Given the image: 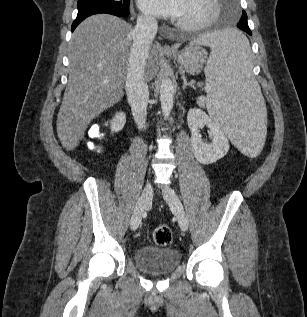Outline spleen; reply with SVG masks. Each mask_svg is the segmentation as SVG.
<instances>
[{"mask_svg": "<svg viewBox=\"0 0 307 317\" xmlns=\"http://www.w3.org/2000/svg\"><path fill=\"white\" fill-rule=\"evenodd\" d=\"M243 29H213L192 44L209 46L205 76L211 86V119L233 140L239 155H262L269 129L260 87L251 74L249 42Z\"/></svg>", "mask_w": 307, "mask_h": 317, "instance_id": "obj_1", "label": "spleen"}]
</instances>
